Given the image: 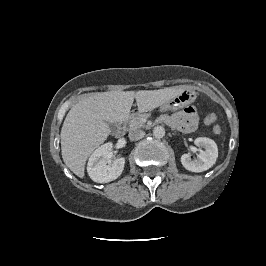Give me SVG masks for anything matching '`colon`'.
I'll list each match as a JSON object with an SVG mask.
<instances>
[{"instance_id":"1","label":"colon","mask_w":266,"mask_h":266,"mask_svg":"<svg viewBox=\"0 0 266 266\" xmlns=\"http://www.w3.org/2000/svg\"><path fill=\"white\" fill-rule=\"evenodd\" d=\"M204 122L207 125H213L212 130H213V132L215 134H219L221 132L220 126H218V125L215 124V122H216V115L215 114H213V113L207 114L205 116V118H204Z\"/></svg>"}]
</instances>
